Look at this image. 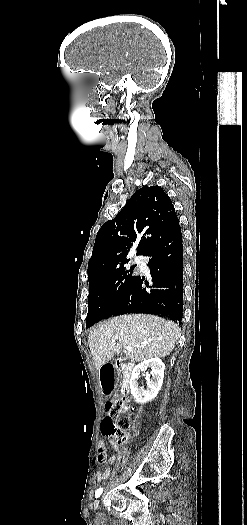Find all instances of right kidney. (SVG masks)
I'll list each match as a JSON object with an SVG mask.
<instances>
[{
  "label": "right kidney",
  "mask_w": 247,
  "mask_h": 525,
  "mask_svg": "<svg viewBox=\"0 0 247 525\" xmlns=\"http://www.w3.org/2000/svg\"><path fill=\"white\" fill-rule=\"evenodd\" d=\"M150 369L149 375L146 377L147 387L143 389L138 385L139 375L142 371H147ZM165 365L162 363L161 359L155 357V359H148V361H143L136 365L132 371V377L129 381V387L131 389V395L134 397L136 403L139 405H144V403H149L153 401L160 391L164 379Z\"/></svg>",
  "instance_id": "ca27d5eb"
}]
</instances>
